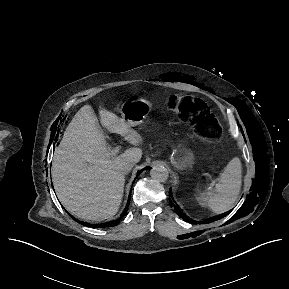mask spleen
<instances>
[{"instance_id": "obj_1", "label": "spleen", "mask_w": 289, "mask_h": 289, "mask_svg": "<svg viewBox=\"0 0 289 289\" xmlns=\"http://www.w3.org/2000/svg\"><path fill=\"white\" fill-rule=\"evenodd\" d=\"M242 165L238 157L233 158L217 179L212 192H202L198 201L212 212L221 214L232 209L241 190Z\"/></svg>"}]
</instances>
